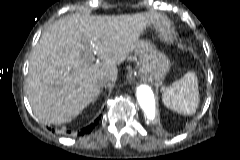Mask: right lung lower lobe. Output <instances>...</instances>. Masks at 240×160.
Masks as SVG:
<instances>
[{"label": "right lung lower lobe", "mask_w": 240, "mask_h": 160, "mask_svg": "<svg viewBox=\"0 0 240 160\" xmlns=\"http://www.w3.org/2000/svg\"><path fill=\"white\" fill-rule=\"evenodd\" d=\"M98 123V119H96L94 121V123L90 124L89 126H87L86 128H84L83 130H81V132L79 133L80 136H83L85 134H88L92 131V129L94 128V126Z\"/></svg>", "instance_id": "98d812e1"}]
</instances>
